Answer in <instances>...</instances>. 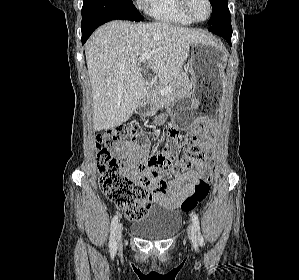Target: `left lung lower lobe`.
Wrapping results in <instances>:
<instances>
[{"label":"left lung lower lobe","instance_id":"0a47b994","mask_svg":"<svg viewBox=\"0 0 299 280\" xmlns=\"http://www.w3.org/2000/svg\"><path fill=\"white\" fill-rule=\"evenodd\" d=\"M209 31L219 36H222L229 45H231L232 26L230 22V12L228 3L224 5V10L220 13L218 20L210 25Z\"/></svg>","mask_w":299,"mask_h":280}]
</instances>
